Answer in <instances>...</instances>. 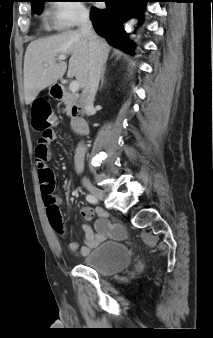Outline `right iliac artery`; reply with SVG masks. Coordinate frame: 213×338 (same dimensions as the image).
Instances as JSON below:
<instances>
[{"label": "right iliac artery", "mask_w": 213, "mask_h": 338, "mask_svg": "<svg viewBox=\"0 0 213 338\" xmlns=\"http://www.w3.org/2000/svg\"><path fill=\"white\" fill-rule=\"evenodd\" d=\"M86 200H87L89 203H93V204L98 203V199H97L95 196L91 195V194H88V195L86 196Z\"/></svg>", "instance_id": "1"}]
</instances>
